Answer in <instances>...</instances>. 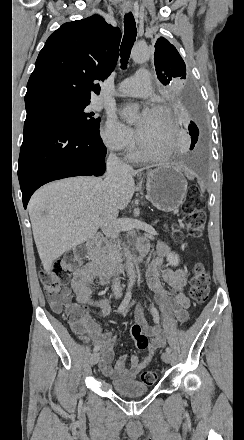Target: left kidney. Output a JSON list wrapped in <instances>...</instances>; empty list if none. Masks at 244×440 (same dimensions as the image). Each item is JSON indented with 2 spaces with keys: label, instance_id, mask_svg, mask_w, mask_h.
I'll list each match as a JSON object with an SVG mask.
<instances>
[{
  "label": "left kidney",
  "instance_id": "5707ae66",
  "mask_svg": "<svg viewBox=\"0 0 244 440\" xmlns=\"http://www.w3.org/2000/svg\"><path fill=\"white\" fill-rule=\"evenodd\" d=\"M166 260L168 262V266H178L179 264V256L178 254H174V252H172V254H167Z\"/></svg>",
  "mask_w": 244,
  "mask_h": 440
}]
</instances>
